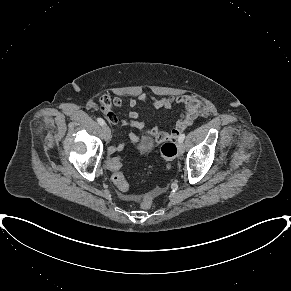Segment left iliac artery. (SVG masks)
<instances>
[{
	"label": "left iliac artery",
	"mask_w": 291,
	"mask_h": 291,
	"mask_svg": "<svg viewBox=\"0 0 291 291\" xmlns=\"http://www.w3.org/2000/svg\"><path fill=\"white\" fill-rule=\"evenodd\" d=\"M184 139H185V134L183 133V134H181V135L179 136L178 141H179V142H183Z\"/></svg>",
	"instance_id": "1"
}]
</instances>
